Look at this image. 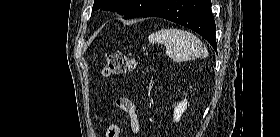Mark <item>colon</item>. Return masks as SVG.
Instances as JSON below:
<instances>
[{"label":"colon","mask_w":280,"mask_h":137,"mask_svg":"<svg viewBox=\"0 0 280 137\" xmlns=\"http://www.w3.org/2000/svg\"><path fill=\"white\" fill-rule=\"evenodd\" d=\"M137 67L136 59L124 53H112L106 60L102 69L104 76H122L133 71ZM105 137H120L119 127H111L106 130Z\"/></svg>","instance_id":"1"}]
</instances>
